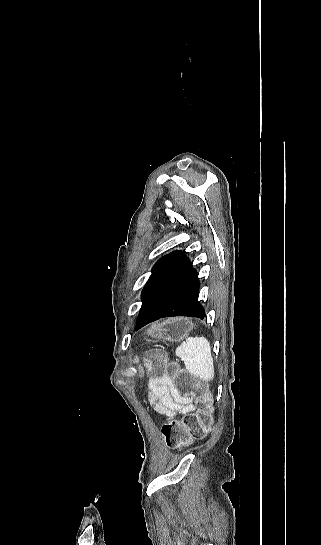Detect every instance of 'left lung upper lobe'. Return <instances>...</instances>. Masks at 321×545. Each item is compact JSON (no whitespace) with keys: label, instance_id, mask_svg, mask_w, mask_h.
<instances>
[{"label":"left lung upper lobe","instance_id":"left-lung-upper-lobe-1","mask_svg":"<svg viewBox=\"0 0 321 545\" xmlns=\"http://www.w3.org/2000/svg\"><path fill=\"white\" fill-rule=\"evenodd\" d=\"M168 255H169V254H168ZM168 255L163 256L162 258H160V259L157 261V263L153 266V268H152V270H151V272H152L151 276L160 268V266H161L162 263L165 261V259L167 258ZM151 276H150V277H151ZM149 279H150V278H149Z\"/></svg>","mask_w":321,"mask_h":545}]
</instances>
